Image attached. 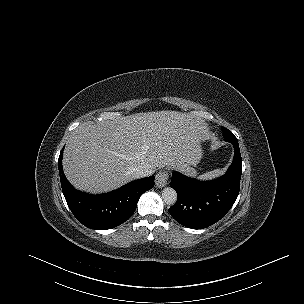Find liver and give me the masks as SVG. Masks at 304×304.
Instances as JSON below:
<instances>
[{
  "instance_id": "6515ba94",
  "label": "liver",
  "mask_w": 304,
  "mask_h": 304,
  "mask_svg": "<svg viewBox=\"0 0 304 304\" xmlns=\"http://www.w3.org/2000/svg\"><path fill=\"white\" fill-rule=\"evenodd\" d=\"M203 134L200 121L167 110L81 126L67 141L63 170L79 190L108 192L136 179L132 172L140 165L184 169L201 152Z\"/></svg>"
}]
</instances>
